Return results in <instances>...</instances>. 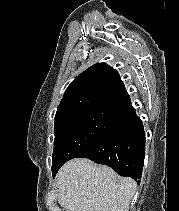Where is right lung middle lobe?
Returning a JSON list of instances; mask_svg holds the SVG:
<instances>
[{
    "label": "right lung middle lobe",
    "instance_id": "dd1d6c3e",
    "mask_svg": "<svg viewBox=\"0 0 179 211\" xmlns=\"http://www.w3.org/2000/svg\"><path fill=\"white\" fill-rule=\"evenodd\" d=\"M121 112L87 110L55 120L52 170L93 146L113 127Z\"/></svg>",
    "mask_w": 179,
    "mask_h": 211
}]
</instances>
